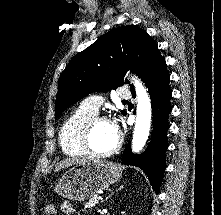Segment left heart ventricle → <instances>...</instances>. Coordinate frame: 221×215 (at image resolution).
I'll list each match as a JSON object with an SVG mask.
<instances>
[{
  "label": "left heart ventricle",
  "mask_w": 221,
  "mask_h": 215,
  "mask_svg": "<svg viewBox=\"0 0 221 215\" xmlns=\"http://www.w3.org/2000/svg\"><path fill=\"white\" fill-rule=\"evenodd\" d=\"M118 134L115 133L110 122H98L91 136V143L99 152L111 149L117 142Z\"/></svg>",
  "instance_id": "b2bd125f"
}]
</instances>
